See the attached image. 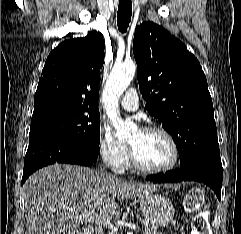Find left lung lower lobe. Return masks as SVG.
<instances>
[{
    "label": "left lung lower lobe",
    "instance_id": "1",
    "mask_svg": "<svg viewBox=\"0 0 241 234\" xmlns=\"http://www.w3.org/2000/svg\"><path fill=\"white\" fill-rule=\"evenodd\" d=\"M223 168L221 163L209 160L195 161L178 170L168 171L146 177L156 183H174L179 181H199L212 188L220 200Z\"/></svg>",
    "mask_w": 241,
    "mask_h": 234
}]
</instances>
